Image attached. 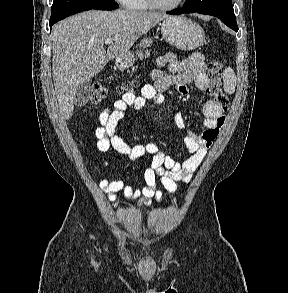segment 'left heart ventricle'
Masks as SVG:
<instances>
[{
    "mask_svg": "<svg viewBox=\"0 0 288 293\" xmlns=\"http://www.w3.org/2000/svg\"><path fill=\"white\" fill-rule=\"evenodd\" d=\"M160 4H172L175 0H156Z\"/></svg>",
    "mask_w": 288,
    "mask_h": 293,
    "instance_id": "left-heart-ventricle-1",
    "label": "left heart ventricle"
}]
</instances>
